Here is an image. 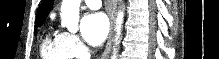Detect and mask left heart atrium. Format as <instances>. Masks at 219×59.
<instances>
[{"instance_id": "39dd6f15", "label": "left heart atrium", "mask_w": 219, "mask_h": 59, "mask_svg": "<svg viewBox=\"0 0 219 59\" xmlns=\"http://www.w3.org/2000/svg\"><path fill=\"white\" fill-rule=\"evenodd\" d=\"M109 23L106 15L101 12L87 13L81 22V34L84 40L92 45H100L107 37Z\"/></svg>"}]
</instances>
